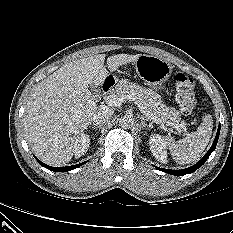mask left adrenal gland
Returning <instances> with one entry per match:
<instances>
[{"instance_id":"obj_1","label":"left adrenal gland","mask_w":233,"mask_h":233,"mask_svg":"<svg viewBox=\"0 0 233 233\" xmlns=\"http://www.w3.org/2000/svg\"><path fill=\"white\" fill-rule=\"evenodd\" d=\"M140 119H141L142 128H145V127H147L148 129H149V128H153L152 122L149 123V124H147V122L145 121V119H144L143 116H141Z\"/></svg>"}]
</instances>
